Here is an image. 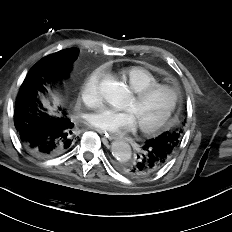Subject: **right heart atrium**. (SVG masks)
Here are the masks:
<instances>
[{
  "mask_svg": "<svg viewBox=\"0 0 232 232\" xmlns=\"http://www.w3.org/2000/svg\"><path fill=\"white\" fill-rule=\"evenodd\" d=\"M104 74V70L99 68L94 70L85 80L81 95L82 98L91 106H95L100 102V81Z\"/></svg>",
  "mask_w": 232,
  "mask_h": 232,
  "instance_id": "right-heart-atrium-1",
  "label": "right heart atrium"
}]
</instances>
